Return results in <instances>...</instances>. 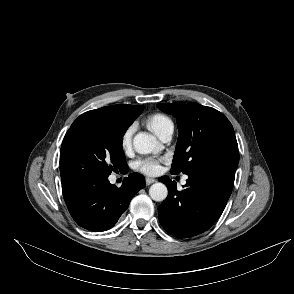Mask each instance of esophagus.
<instances>
[{"mask_svg":"<svg viewBox=\"0 0 294 294\" xmlns=\"http://www.w3.org/2000/svg\"><path fill=\"white\" fill-rule=\"evenodd\" d=\"M154 182H156V180L154 178H150V177L146 178V185H150V184H152Z\"/></svg>","mask_w":294,"mask_h":294,"instance_id":"obj_1","label":"esophagus"}]
</instances>
